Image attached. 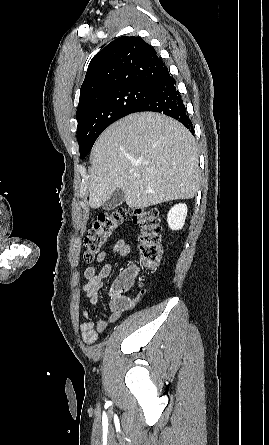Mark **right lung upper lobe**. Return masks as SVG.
<instances>
[{
	"label": "right lung upper lobe",
	"mask_w": 269,
	"mask_h": 445,
	"mask_svg": "<svg viewBox=\"0 0 269 445\" xmlns=\"http://www.w3.org/2000/svg\"><path fill=\"white\" fill-rule=\"evenodd\" d=\"M166 69L155 49L142 38L121 36L90 61L77 110L111 90L129 85H152Z\"/></svg>",
	"instance_id": "right-lung-upper-lobe-1"
}]
</instances>
